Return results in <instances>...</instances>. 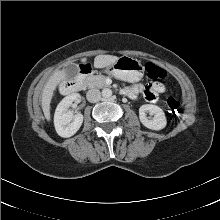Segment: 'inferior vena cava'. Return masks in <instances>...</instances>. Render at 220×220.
<instances>
[{
	"mask_svg": "<svg viewBox=\"0 0 220 220\" xmlns=\"http://www.w3.org/2000/svg\"><path fill=\"white\" fill-rule=\"evenodd\" d=\"M86 98L89 102L95 103L100 100L101 92L98 89H90L86 94Z\"/></svg>",
	"mask_w": 220,
	"mask_h": 220,
	"instance_id": "obj_1",
	"label": "inferior vena cava"
}]
</instances>
